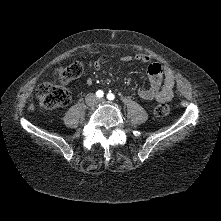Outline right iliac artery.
<instances>
[{"mask_svg": "<svg viewBox=\"0 0 221 221\" xmlns=\"http://www.w3.org/2000/svg\"><path fill=\"white\" fill-rule=\"evenodd\" d=\"M103 95H104V92H103L102 90H98V91L96 92V96H97L98 98L103 97Z\"/></svg>", "mask_w": 221, "mask_h": 221, "instance_id": "right-iliac-artery-1", "label": "right iliac artery"}]
</instances>
